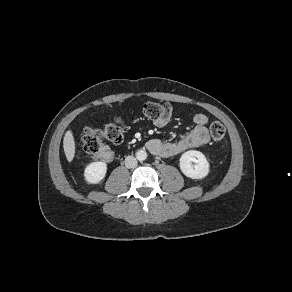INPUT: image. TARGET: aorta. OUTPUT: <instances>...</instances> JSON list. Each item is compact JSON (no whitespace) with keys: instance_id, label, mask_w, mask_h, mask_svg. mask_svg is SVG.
Instances as JSON below:
<instances>
[{"instance_id":"1","label":"aorta","mask_w":292,"mask_h":292,"mask_svg":"<svg viewBox=\"0 0 292 292\" xmlns=\"http://www.w3.org/2000/svg\"><path fill=\"white\" fill-rule=\"evenodd\" d=\"M136 157L139 161H144L147 158V153L145 150L141 149L136 152Z\"/></svg>"}]
</instances>
